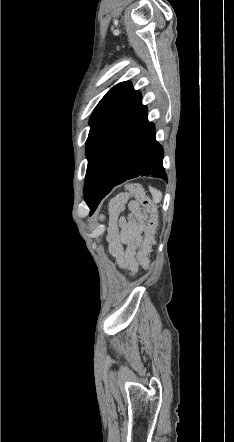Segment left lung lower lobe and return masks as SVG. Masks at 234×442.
Wrapping results in <instances>:
<instances>
[{
  "label": "left lung lower lobe",
  "mask_w": 234,
  "mask_h": 442,
  "mask_svg": "<svg viewBox=\"0 0 234 442\" xmlns=\"http://www.w3.org/2000/svg\"><path fill=\"white\" fill-rule=\"evenodd\" d=\"M85 200L93 212L111 189L127 179L153 176L167 180L163 149L139 91L131 88L93 130L86 143Z\"/></svg>",
  "instance_id": "1"
}]
</instances>
